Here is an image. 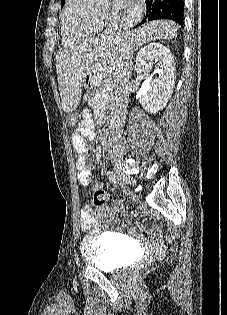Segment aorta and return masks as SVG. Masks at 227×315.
Masks as SVG:
<instances>
[{
    "instance_id": "aorta-1",
    "label": "aorta",
    "mask_w": 227,
    "mask_h": 315,
    "mask_svg": "<svg viewBox=\"0 0 227 315\" xmlns=\"http://www.w3.org/2000/svg\"><path fill=\"white\" fill-rule=\"evenodd\" d=\"M84 1L89 4L101 5V4H104L107 0H84Z\"/></svg>"
}]
</instances>
